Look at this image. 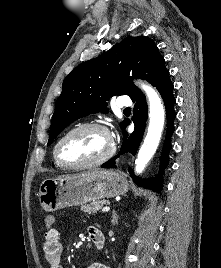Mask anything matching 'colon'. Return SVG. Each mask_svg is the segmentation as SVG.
<instances>
[{"label":"colon","mask_w":221,"mask_h":268,"mask_svg":"<svg viewBox=\"0 0 221 268\" xmlns=\"http://www.w3.org/2000/svg\"><path fill=\"white\" fill-rule=\"evenodd\" d=\"M55 221H56V218L53 214H47L43 218V222L48 229L53 227V225L55 224Z\"/></svg>","instance_id":"obj_1"}]
</instances>
